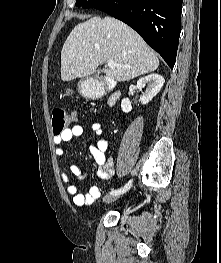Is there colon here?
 <instances>
[{"label":"colon","mask_w":221,"mask_h":263,"mask_svg":"<svg viewBox=\"0 0 221 263\" xmlns=\"http://www.w3.org/2000/svg\"><path fill=\"white\" fill-rule=\"evenodd\" d=\"M77 110L74 109L71 112H66L63 109H55L52 112V128L55 136L61 135L68 125L74 121L77 117Z\"/></svg>","instance_id":"colon-1"}]
</instances>
